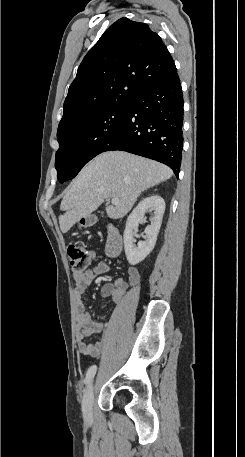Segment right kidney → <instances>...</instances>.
<instances>
[{
    "label": "right kidney",
    "mask_w": 245,
    "mask_h": 457,
    "mask_svg": "<svg viewBox=\"0 0 245 457\" xmlns=\"http://www.w3.org/2000/svg\"><path fill=\"white\" fill-rule=\"evenodd\" d=\"M164 210V198L159 194H152V196L143 198L129 214L123 239L126 259L130 265H137L140 261H144L147 255H150L151 251H153L160 231ZM145 212H151V224H148L144 231L147 241H139L137 245H134L133 231L137 229L139 222H147Z\"/></svg>",
    "instance_id": "ca27d5eb"
}]
</instances>
